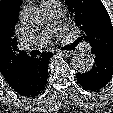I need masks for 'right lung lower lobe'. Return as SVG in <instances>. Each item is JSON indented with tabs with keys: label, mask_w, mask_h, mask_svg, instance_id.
Here are the masks:
<instances>
[{
	"label": "right lung lower lobe",
	"mask_w": 113,
	"mask_h": 113,
	"mask_svg": "<svg viewBox=\"0 0 113 113\" xmlns=\"http://www.w3.org/2000/svg\"><path fill=\"white\" fill-rule=\"evenodd\" d=\"M51 52L43 53L40 57H32L26 66L22 77L9 84L10 87L25 97H35L46 87L48 78V63Z\"/></svg>",
	"instance_id": "98d812e1"
}]
</instances>
